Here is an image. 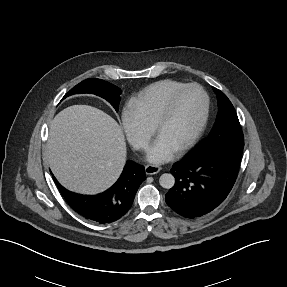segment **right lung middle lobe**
<instances>
[{"mask_svg": "<svg viewBox=\"0 0 287 287\" xmlns=\"http://www.w3.org/2000/svg\"><path fill=\"white\" fill-rule=\"evenodd\" d=\"M78 93H91L97 96H100L107 100L116 111L119 109L120 94L122 93L121 89L117 86L96 78L86 79L72 88L68 94L64 96L66 98L72 94Z\"/></svg>", "mask_w": 287, "mask_h": 287, "instance_id": "1", "label": "right lung middle lobe"}]
</instances>
